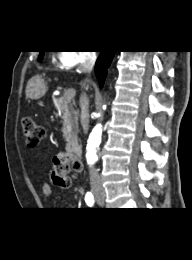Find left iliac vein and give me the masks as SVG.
<instances>
[{
  "instance_id": "1",
  "label": "left iliac vein",
  "mask_w": 192,
  "mask_h": 260,
  "mask_svg": "<svg viewBox=\"0 0 192 260\" xmlns=\"http://www.w3.org/2000/svg\"><path fill=\"white\" fill-rule=\"evenodd\" d=\"M96 202L98 205L104 204V196L101 194L100 196H96Z\"/></svg>"
}]
</instances>
